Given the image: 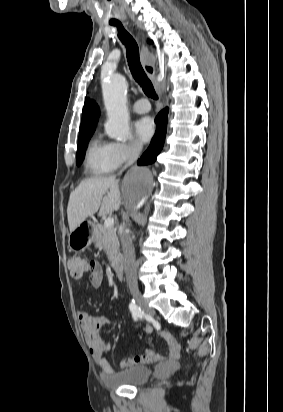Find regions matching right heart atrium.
Returning a JSON list of instances; mask_svg holds the SVG:
<instances>
[{"label":"right heart atrium","instance_id":"right-heart-atrium-1","mask_svg":"<svg viewBox=\"0 0 283 412\" xmlns=\"http://www.w3.org/2000/svg\"><path fill=\"white\" fill-rule=\"evenodd\" d=\"M141 150L140 143L135 140L111 143V155L118 166L136 159Z\"/></svg>","mask_w":283,"mask_h":412}]
</instances>
